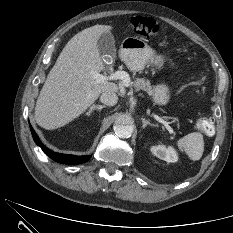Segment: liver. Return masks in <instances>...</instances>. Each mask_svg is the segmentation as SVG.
<instances>
[{
    "label": "liver",
    "instance_id": "obj_1",
    "mask_svg": "<svg viewBox=\"0 0 233 233\" xmlns=\"http://www.w3.org/2000/svg\"><path fill=\"white\" fill-rule=\"evenodd\" d=\"M108 25H95L73 36L60 53L40 91L36 107V123L52 130L72 121L105 91H118L113 82L97 83L91 72H101L104 63L97 41Z\"/></svg>",
    "mask_w": 233,
    "mask_h": 233
}]
</instances>
